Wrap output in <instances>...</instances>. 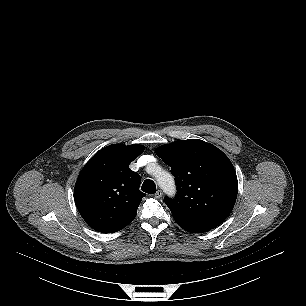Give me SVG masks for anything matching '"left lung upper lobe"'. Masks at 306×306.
I'll return each instance as SVG.
<instances>
[{
    "label": "left lung upper lobe",
    "mask_w": 306,
    "mask_h": 306,
    "mask_svg": "<svg viewBox=\"0 0 306 306\" xmlns=\"http://www.w3.org/2000/svg\"><path fill=\"white\" fill-rule=\"evenodd\" d=\"M157 155L171 167L175 199L165 197L180 226L210 230L232 211L237 193L236 172L217 147L199 139L180 140L158 147Z\"/></svg>",
    "instance_id": "obj_1"
}]
</instances>
